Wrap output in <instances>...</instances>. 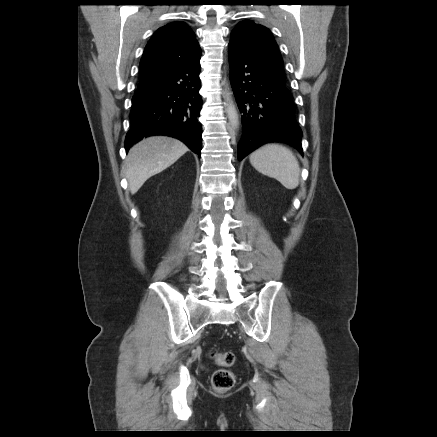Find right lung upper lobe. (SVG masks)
Masks as SVG:
<instances>
[{
    "label": "right lung upper lobe",
    "instance_id": "right-lung-upper-lobe-1",
    "mask_svg": "<svg viewBox=\"0 0 437 437\" xmlns=\"http://www.w3.org/2000/svg\"><path fill=\"white\" fill-rule=\"evenodd\" d=\"M201 56L195 33L184 22L159 28L144 50L140 62V84Z\"/></svg>",
    "mask_w": 437,
    "mask_h": 437
}]
</instances>
